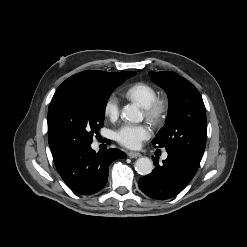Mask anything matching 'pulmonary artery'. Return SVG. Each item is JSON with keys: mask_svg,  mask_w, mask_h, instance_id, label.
Listing matches in <instances>:
<instances>
[{"mask_svg": "<svg viewBox=\"0 0 247 247\" xmlns=\"http://www.w3.org/2000/svg\"><path fill=\"white\" fill-rule=\"evenodd\" d=\"M167 158V153H164L163 154V159H166Z\"/></svg>", "mask_w": 247, "mask_h": 247, "instance_id": "e3ab8cb5", "label": "pulmonary artery"}]
</instances>
